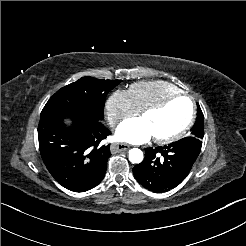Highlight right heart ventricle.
Returning a JSON list of instances; mask_svg holds the SVG:
<instances>
[{
	"label": "right heart ventricle",
	"instance_id": "obj_1",
	"mask_svg": "<svg viewBox=\"0 0 246 246\" xmlns=\"http://www.w3.org/2000/svg\"><path fill=\"white\" fill-rule=\"evenodd\" d=\"M136 112H141L144 108L157 104L166 98L180 93V90L167 82L149 81L132 84L128 90Z\"/></svg>",
	"mask_w": 246,
	"mask_h": 246
}]
</instances>
